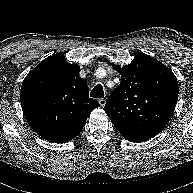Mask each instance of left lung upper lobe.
I'll return each mask as SVG.
<instances>
[{
    "mask_svg": "<svg viewBox=\"0 0 193 193\" xmlns=\"http://www.w3.org/2000/svg\"><path fill=\"white\" fill-rule=\"evenodd\" d=\"M120 85L111 92L104 110L127 139H150L169 123L178 100L173 72L156 58L138 54L120 67Z\"/></svg>",
    "mask_w": 193,
    "mask_h": 193,
    "instance_id": "left-lung-upper-lobe-1",
    "label": "left lung upper lobe"
}]
</instances>
